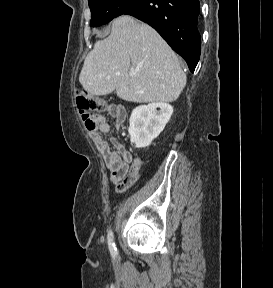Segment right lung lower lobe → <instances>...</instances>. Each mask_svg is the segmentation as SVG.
Segmentation results:
<instances>
[{
  "label": "right lung lower lobe",
  "mask_w": 273,
  "mask_h": 288,
  "mask_svg": "<svg viewBox=\"0 0 273 288\" xmlns=\"http://www.w3.org/2000/svg\"><path fill=\"white\" fill-rule=\"evenodd\" d=\"M199 13V0H135L123 14L152 26L194 72L201 52Z\"/></svg>",
  "instance_id": "98d812e1"
}]
</instances>
